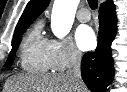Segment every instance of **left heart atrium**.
I'll return each instance as SVG.
<instances>
[{
    "instance_id": "39dd6f15",
    "label": "left heart atrium",
    "mask_w": 127,
    "mask_h": 92,
    "mask_svg": "<svg viewBox=\"0 0 127 92\" xmlns=\"http://www.w3.org/2000/svg\"><path fill=\"white\" fill-rule=\"evenodd\" d=\"M75 39L81 50H90L96 44V37L91 27L87 25L79 26L75 33Z\"/></svg>"
}]
</instances>
